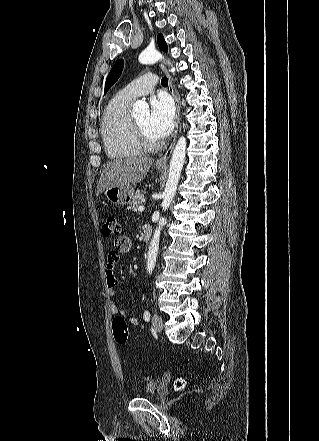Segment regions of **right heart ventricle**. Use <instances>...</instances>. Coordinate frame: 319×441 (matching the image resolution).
Returning <instances> with one entry per match:
<instances>
[{
    "label": "right heart ventricle",
    "mask_w": 319,
    "mask_h": 441,
    "mask_svg": "<svg viewBox=\"0 0 319 441\" xmlns=\"http://www.w3.org/2000/svg\"><path fill=\"white\" fill-rule=\"evenodd\" d=\"M132 100L116 95L108 103L101 123V136L110 158H129L142 153L130 115Z\"/></svg>",
    "instance_id": "1"
}]
</instances>
